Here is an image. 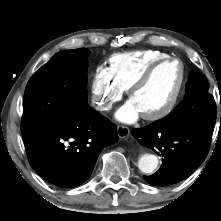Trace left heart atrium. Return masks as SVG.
Returning <instances> with one entry per match:
<instances>
[{
    "label": "left heart atrium",
    "instance_id": "left-heart-atrium-1",
    "mask_svg": "<svg viewBox=\"0 0 221 221\" xmlns=\"http://www.w3.org/2000/svg\"><path fill=\"white\" fill-rule=\"evenodd\" d=\"M140 114V110L133 100L130 99L117 111L116 117L122 122L132 123L139 118Z\"/></svg>",
    "mask_w": 221,
    "mask_h": 221
}]
</instances>
